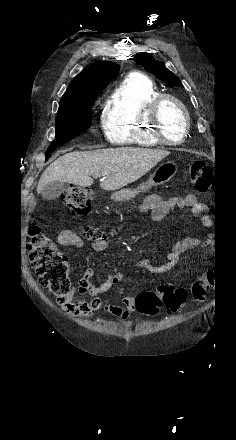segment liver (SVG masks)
<instances>
[{"mask_svg":"<svg viewBox=\"0 0 236 440\" xmlns=\"http://www.w3.org/2000/svg\"><path fill=\"white\" fill-rule=\"evenodd\" d=\"M169 154V151L134 147L66 153L43 172L37 192L41 193L46 185L55 181L90 186L91 176L102 177V189L117 190L137 181Z\"/></svg>","mask_w":236,"mask_h":440,"instance_id":"liver-1","label":"liver"}]
</instances>
